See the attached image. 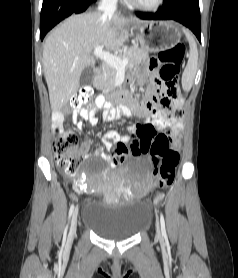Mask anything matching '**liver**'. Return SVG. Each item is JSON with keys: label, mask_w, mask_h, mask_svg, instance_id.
Wrapping results in <instances>:
<instances>
[{"label": "liver", "mask_w": 238, "mask_h": 278, "mask_svg": "<svg viewBox=\"0 0 238 278\" xmlns=\"http://www.w3.org/2000/svg\"><path fill=\"white\" fill-rule=\"evenodd\" d=\"M132 22L147 23L136 18L89 12L67 18L50 33L43 47V71L54 112L77 93L82 71L95 64L93 50L97 46L119 49L129 37L124 27Z\"/></svg>", "instance_id": "1"}]
</instances>
